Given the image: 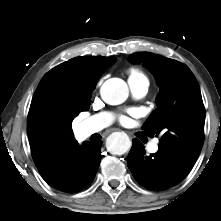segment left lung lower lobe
Instances as JSON below:
<instances>
[{"instance_id":"obj_1","label":"left lung lower lobe","mask_w":221,"mask_h":221,"mask_svg":"<svg viewBox=\"0 0 221 221\" xmlns=\"http://www.w3.org/2000/svg\"><path fill=\"white\" fill-rule=\"evenodd\" d=\"M128 167L136 181L150 190H166L178 184L187 173L168 154L158 150L150 156L138 139H133Z\"/></svg>"}]
</instances>
